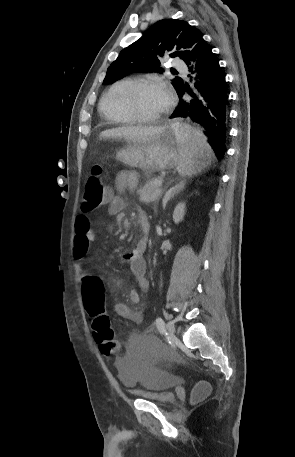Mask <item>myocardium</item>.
I'll use <instances>...</instances> for the list:
<instances>
[{"mask_svg": "<svg viewBox=\"0 0 295 457\" xmlns=\"http://www.w3.org/2000/svg\"><path fill=\"white\" fill-rule=\"evenodd\" d=\"M159 83L155 80L142 79L136 80L128 85L120 95V101L124 110L136 121L141 123H154L164 118L169 110L170 106H167L163 112L156 116H145L142 115L137 108L136 97L137 94L146 88L158 86Z\"/></svg>", "mask_w": 295, "mask_h": 457, "instance_id": "1", "label": "myocardium"}]
</instances>
